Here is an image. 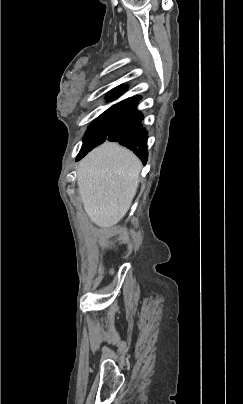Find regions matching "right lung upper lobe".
I'll return each instance as SVG.
<instances>
[{
  "mask_svg": "<svg viewBox=\"0 0 243 404\" xmlns=\"http://www.w3.org/2000/svg\"><path fill=\"white\" fill-rule=\"evenodd\" d=\"M125 90H126V87H123V86L118 87V88L115 89L114 92L111 94L110 98H111V99L116 98L117 96H119L120 94H122ZM140 99H141V97L136 96V97H132V98L125 99V100L121 101V102L118 103V104H126V105H129V104H131V103H133V102H135V101H138V100H140Z\"/></svg>",
  "mask_w": 243,
  "mask_h": 404,
  "instance_id": "1",
  "label": "right lung upper lobe"
}]
</instances>
